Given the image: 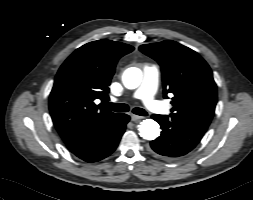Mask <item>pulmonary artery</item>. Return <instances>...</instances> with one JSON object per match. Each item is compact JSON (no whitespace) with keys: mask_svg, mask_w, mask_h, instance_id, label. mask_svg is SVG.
Instances as JSON below:
<instances>
[{"mask_svg":"<svg viewBox=\"0 0 253 200\" xmlns=\"http://www.w3.org/2000/svg\"><path fill=\"white\" fill-rule=\"evenodd\" d=\"M143 74L142 84L134 93L133 97L142 100L145 106L153 112L168 113V109L155 99L159 81L158 67L155 65H145Z\"/></svg>","mask_w":253,"mask_h":200,"instance_id":"pulmonary-artery-1","label":"pulmonary artery"}]
</instances>
